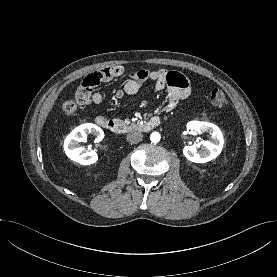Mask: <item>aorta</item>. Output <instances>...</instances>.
<instances>
[{
    "mask_svg": "<svg viewBox=\"0 0 277 277\" xmlns=\"http://www.w3.org/2000/svg\"><path fill=\"white\" fill-rule=\"evenodd\" d=\"M150 139H151V141H152L153 143H157V142L160 141L161 136H160V134H159L158 132H153V133L151 134V136H150Z\"/></svg>",
    "mask_w": 277,
    "mask_h": 277,
    "instance_id": "aorta-1",
    "label": "aorta"
}]
</instances>
